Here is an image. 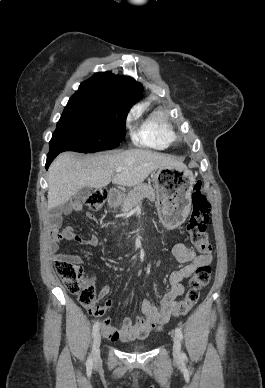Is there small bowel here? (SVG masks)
Wrapping results in <instances>:
<instances>
[{"label":"small bowel","instance_id":"c3829d8e","mask_svg":"<svg viewBox=\"0 0 265 388\" xmlns=\"http://www.w3.org/2000/svg\"><path fill=\"white\" fill-rule=\"evenodd\" d=\"M83 204L79 201L73 202L64 210V214L71 212H81ZM86 216L95 220V216L91 212H87ZM61 224V215L54 214L50 219V225L53 231L52 251L54 252V259H65L69 262L80 266L84 264V260L75 255L63 254L59 252V242L62 239L75 240L81 244L96 247L101 240L98 236L92 235L89 238H82L75 235L70 228H66L62 233H59ZM65 233H71L69 237ZM173 255L175 259L184 264L178 270L173 271L169 276V288L162 296L159 307L154 306L148 299H144L141 303L142 316L133 322L130 318H126L122 324L117 327L114 326L109 318L101 321V328L104 336L111 341H127L134 338H145L152 332L160 329L170 320L174 307L178 304L177 298L184 293L183 280L189 278L195 270L202 265H209L212 262L211 254H197L194 250L186 247L183 244H175L173 246ZM87 282L94 285L96 282V274L91 273ZM111 291L110 285H104L99 291V299H104ZM112 306V301L107 300L103 306L93 305L89 312L93 315L102 316L106 310ZM100 324V323H99Z\"/></svg>","mask_w":265,"mask_h":388}]
</instances>
